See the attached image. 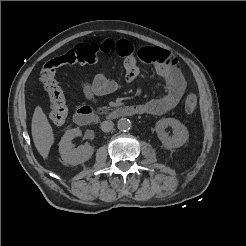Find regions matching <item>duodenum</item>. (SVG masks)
<instances>
[{
	"instance_id": "duodenum-1",
	"label": "duodenum",
	"mask_w": 246,
	"mask_h": 246,
	"mask_svg": "<svg viewBox=\"0 0 246 246\" xmlns=\"http://www.w3.org/2000/svg\"><path fill=\"white\" fill-rule=\"evenodd\" d=\"M142 109L139 105H126L113 110L109 116L111 118L133 116L141 114ZM74 122L79 126H87L96 123L99 119L98 115L89 106L78 108L73 116Z\"/></svg>"
}]
</instances>
